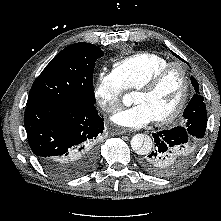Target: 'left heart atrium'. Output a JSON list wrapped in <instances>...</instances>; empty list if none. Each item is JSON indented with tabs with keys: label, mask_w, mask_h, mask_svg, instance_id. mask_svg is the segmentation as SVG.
I'll list each match as a JSON object with an SVG mask.
<instances>
[{
	"label": "left heart atrium",
	"mask_w": 221,
	"mask_h": 221,
	"mask_svg": "<svg viewBox=\"0 0 221 221\" xmlns=\"http://www.w3.org/2000/svg\"><path fill=\"white\" fill-rule=\"evenodd\" d=\"M111 119L115 124L128 128H141L154 121L147 107L141 104L120 110Z\"/></svg>",
	"instance_id": "obj_1"
}]
</instances>
